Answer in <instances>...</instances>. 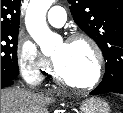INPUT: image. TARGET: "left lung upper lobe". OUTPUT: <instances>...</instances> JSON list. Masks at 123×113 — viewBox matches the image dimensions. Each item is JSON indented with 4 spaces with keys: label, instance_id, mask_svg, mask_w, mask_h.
I'll return each mask as SVG.
<instances>
[{
    "label": "left lung upper lobe",
    "instance_id": "5c2ea615",
    "mask_svg": "<svg viewBox=\"0 0 123 113\" xmlns=\"http://www.w3.org/2000/svg\"><path fill=\"white\" fill-rule=\"evenodd\" d=\"M76 24L103 51L106 70L102 86L123 83V0H68Z\"/></svg>",
    "mask_w": 123,
    "mask_h": 113
}]
</instances>
